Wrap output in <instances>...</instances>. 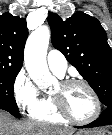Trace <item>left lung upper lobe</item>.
Segmentation results:
<instances>
[{
    "label": "left lung upper lobe",
    "mask_w": 112,
    "mask_h": 135,
    "mask_svg": "<svg viewBox=\"0 0 112 135\" xmlns=\"http://www.w3.org/2000/svg\"><path fill=\"white\" fill-rule=\"evenodd\" d=\"M53 46L89 83L105 107L112 106V49L100 22L76 12L65 21L50 13Z\"/></svg>",
    "instance_id": "1"
}]
</instances>
